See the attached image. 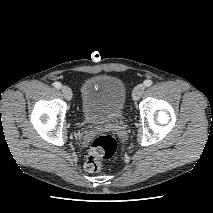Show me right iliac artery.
<instances>
[{
  "instance_id": "obj_1",
  "label": "right iliac artery",
  "mask_w": 213,
  "mask_h": 213,
  "mask_svg": "<svg viewBox=\"0 0 213 213\" xmlns=\"http://www.w3.org/2000/svg\"><path fill=\"white\" fill-rule=\"evenodd\" d=\"M53 85L57 89L61 88V86H62L60 82H54Z\"/></svg>"
}]
</instances>
